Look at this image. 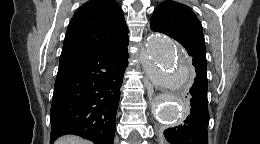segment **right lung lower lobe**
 <instances>
[{
	"label": "right lung lower lobe",
	"instance_id": "obj_1",
	"mask_svg": "<svg viewBox=\"0 0 260 144\" xmlns=\"http://www.w3.org/2000/svg\"><path fill=\"white\" fill-rule=\"evenodd\" d=\"M128 43L59 62L51 106L50 141L74 134L113 144Z\"/></svg>",
	"mask_w": 260,
	"mask_h": 144
}]
</instances>
